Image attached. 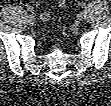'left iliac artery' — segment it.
<instances>
[{"label": "left iliac artery", "instance_id": "obj_1", "mask_svg": "<svg viewBox=\"0 0 111 106\" xmlns=\"http://www.w3.org/2000/svg\"><path fill=\"white\" fill-rule=\"evenodd\" d=\"M85 6H86V5H85L84 3H83V4H81V7H82V8H84Z\"/></svg>", "mask_w": 111, "mask_h": 106}]
</instances>
